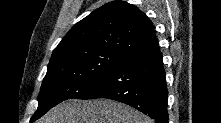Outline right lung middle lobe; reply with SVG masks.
Returning <instances> with one entry per match:
<instances>
[{"label":"right lung middle lobe","mask_w":221,"mask_h":123,"mask_svg":"<svg viewBox=\"0 0 221 123\" xmlns=\"http://www.w3.org/2000/svg\"><path fill=\"white\" fill-rule=\"evenodd\" d=\"M128 55L107 48L81 50L51 59L43 79L39 105L31 121L68 99H88L97 83Z\"/></svg>","instance_id":"dd1d6c3e"}]
</instances>
